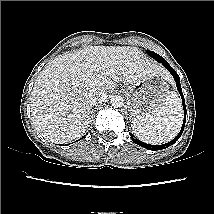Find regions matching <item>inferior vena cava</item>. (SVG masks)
<instances>
[{"mask_svg":"<svg viewBox=\"0 0 214 214\" xmlns=\"http://www.w3.org/2000/svg\"><path fill=\"white\" fill-rule=\"evenodd\" d=\"M107 99V93L104 90H93L89 93V101L92 104H99Z\"/></svg>","mask_w":214,"mask_h":214,"instance_id":"1","label":"inferior vena cava"}]
</instances>
